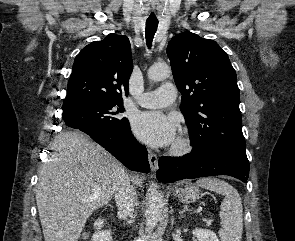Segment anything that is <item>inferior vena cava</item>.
<instances>
[{"label": "inferior vena cava", "mask_w": 295, "mask_h": 241, "mask_svg": "<svg viewBox=\"0 0 295 241\" xmlns=\"http://www.w3.org/2000/svg\"><path fill=\"white\" fill-rule=\"evenodd\" d=\"M115 201L121 216H130L134 211L135 190L128 174L120 169L114 175Z\"/></svg>", "instance_id": "obj_1"}]
</instances>
